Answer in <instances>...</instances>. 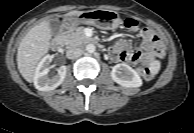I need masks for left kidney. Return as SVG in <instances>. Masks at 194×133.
Masks as SVG:
<instances>
[{
  "label": "left kidney",
  "instance_id": "obj_1",
  "mask_svg": "<svg viewBox=\"0 0 194 133\" xmlns=\"http://www.w3.org/2000/svg\"><path fill=\"white\" fill-rule=\"evenodd\" d=\"M114 82L126 88H137L142 85L139 74L126 63L115 65L111 71Z\"/></svg>",
  "mask_w": 194,
  "mask_h": 133
}]
</instances>
